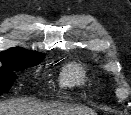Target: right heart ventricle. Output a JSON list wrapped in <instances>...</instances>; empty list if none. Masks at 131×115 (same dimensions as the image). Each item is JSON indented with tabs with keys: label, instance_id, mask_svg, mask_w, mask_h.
Returning a JSON list of instances; mask_svg holds the SVG:
<instances>
[{
	"label": "right heart ventricle",
	"instance_id": "obj_1",
	"mask_svg": "<svg viewBox=\"0 0 131 115\" xmlns=\"http://www.w3.org/2000/svg\"><path fill=\"white\" fill-rule=\"evenodd\" d=\"M91 80L87 70L76 63L68 64L61 76V84L64 87L88 86Z\"/></svg>",
	"mask_w": 131,
	"mask_h": 115
}]
</instances>
